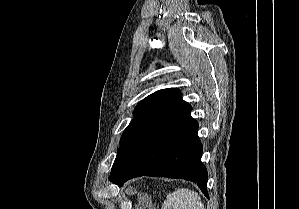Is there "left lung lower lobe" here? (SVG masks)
Returning <instances> with one entry per match:
<instances>
[{"instance_id": "0a47b994", "label": "left lung lower lobe", "mask_w": 299, "mask_h": 209, "mask_svg": "<svg viewBox=\"0 0 299 209\" xmlns=\"http://www.w3.org/2000/svg\"><path fill=\"white\" fill-rule=\"evenodd\" d=\"M192 107L181 92L143 121L119 148L109 180L122 186L138 176L182 178L207 192V170Z\"/></svg>"}]
</instances>
